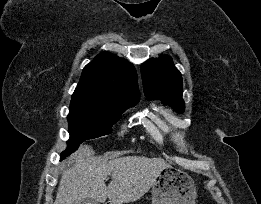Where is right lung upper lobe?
Instances as JSON below:
<instances>
[{
    "instance_id": "obj_1",
    "label": "right lung upper lobe",
    "mask_w": 261,
    "mask_h": 204,
    "mask_svg": "<svg viewBox=\"0 0 261 204\" xmlns=\"http://www.w3.org/2000/svg\"><path fill=\"white\" fill-rule=\"evenodd\" d=\"M139 98L134 66L109 52L100 53L85 66L72 95V99L115 105L132 104Z\"/></svg>"
}]
</instances>
